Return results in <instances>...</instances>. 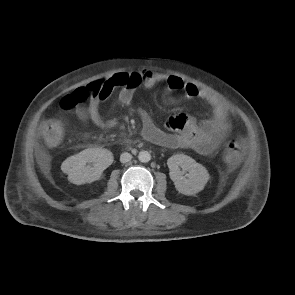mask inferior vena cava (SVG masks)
<instances>
[{"instance_id":"inferior-vena-cava-1","label":"inferior vena cava","mask_w":295,"mask_h":295,"mask_svg":"<svg viewBox=\"0 0 295 295\" xmlns=\"http://www.w3.org/2000/svg\"><path fill=\"white\" fill-rule=\"evenodd\" d=\"M132 159V155L130 153L124 152L120 156V161L122 163H127Z\"/></svg>"}]
</instances>
